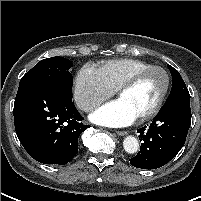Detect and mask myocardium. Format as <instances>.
Listing matches in <instances>:
<instances>
[{
  "instance_id": "1",
  "label": "myocardium",
  "mask_w": 201,
  "mask_h": 201,
  "mask_svg": "<svg viewBox=\"0 0 201 201\" xmlns=\"http://www.w3.org/2000/svg\"><path fill=\"white\" fill-rule=\"evenodd\" d=\"M153 71H159L162 73V75L164 77V85H163L162 91H161L160 96H159L157 102L155 103V105L149 111H147L146 113L137 117L139 121H146V120H149V119L155 117L162 109L165 99L167 97V94L169 92V88H170V75H169L168 71L161 66H157V65L149 66L147 68L137 71L136 73H134L133 75L128 77L124 82L121 83V85L116 90L118 97H120V95L124 91L133 87L143 77H145L146 75H148L149 73H151Z\"/></svg>"
}]
</instances>
